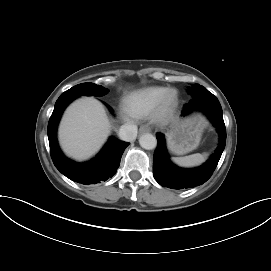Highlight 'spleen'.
<instances>
[{
	"label": "spleen",
	"instance_id": "1",
	"mask_svg": "<svg viewBox=\"0 0 271 271\" xmlns=\"http://www.w3.org/2000/svg\"><path fill=\"white\" fill-rule=\"evenodd\" d=\"M207 158V154H192L185 157H174L172 161L182 167H194L202 164Z\"/></svg>",
	"mask_w": 271,
	"mask_h": 271
}]
</instances>
